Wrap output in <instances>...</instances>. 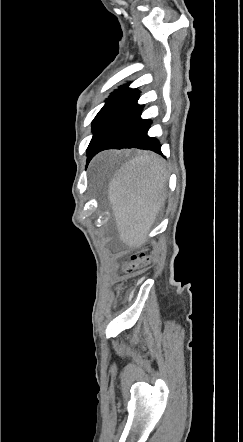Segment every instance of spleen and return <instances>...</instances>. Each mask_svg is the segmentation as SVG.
<instances>
[{"mask_svg": "<svg viewBox=\"0 0 243 442\" xmlns=\"http://www.w3.org/2000/svg\"><path fill=\"white\" fill-rule=\"evenodd\" d=\"M161 162L152 154L143 153L126 163L117 178H109V187H115L113 202H118L116 225L123 238L134 241L143 237L150 229L153 214H159L163 185L158 178Z\"/></svg>", "mask_w": 243, "mask_h": 442, "instance_id": "obj_1", "label": "spleen"}]
</instances>
